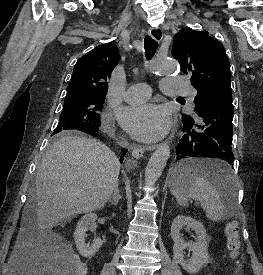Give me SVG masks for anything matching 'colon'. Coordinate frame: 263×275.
I'll return each mask as SVG.
<instances>
[{"label": "colon", "instance_id": "1", "mask_svg": "<svg viewBox=\"0 0 263 275\" xmlns=\"http://www.w3.org/2000/svg\"><path fill=\"white\" fill-rule=\"evenodd\" d=\"M225 234L230 257L233 260H237L241 247L238 226L233 222L228 223L225 227ZM53 252L55 253L57 266L56 275H84L85 266L77 256H67L57 251Z\"/></svg>", "mask_w": 263, "mask_h": 275}]
</instances>
